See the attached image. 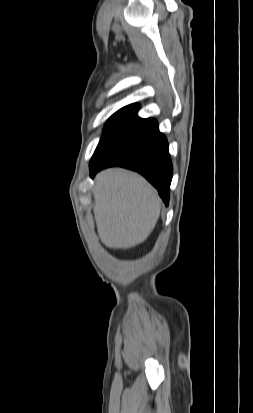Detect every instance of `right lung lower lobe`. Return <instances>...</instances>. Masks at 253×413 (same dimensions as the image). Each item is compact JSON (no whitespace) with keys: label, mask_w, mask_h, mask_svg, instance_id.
Returning <instances> with one entry per match:
<instances>
[{"label":"right lung lower lobe","mask_w":253,"mask_h":413,"mask_svg":"<svg viewBox=\"0 0 253 413\" xmlns=\"http://www.w3.org/2000/svg\"><path fill=\"white\" fill-rule=\"evenodd\" d=\"M110 166H121L142 174L158 190L165 205H168L173 167L167 139L158 128L90 167L91 176L94 177L98 171Z\"/></svg>","instance_id":"obj_1"}]
</instances>
